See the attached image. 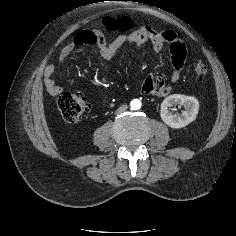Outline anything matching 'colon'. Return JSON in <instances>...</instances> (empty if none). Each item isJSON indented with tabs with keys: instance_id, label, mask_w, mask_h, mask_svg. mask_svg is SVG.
Here are the masks:
<instances>
[{
	"instance_id": "1",
	"label": "colon",
	"mask_w": 236,
	"mask_h": 236,
	"mask_svg": "<svg viewBox=\"0 0 236 236\" xmlns=\"http://www.w3.org/2000/svg\"><path fill=\"white\" fill-rule=\"evenodd\" d=\"M118 22L123 26L129 21L126 18H120ZM193 72L196 79L201 81L206 78L208 67L203 63H196L193 66ZM57 106L64 121L77 123L88 110L89 101L83 94L65 92L58 96Z\"/></svg>"
}]
</instances>
